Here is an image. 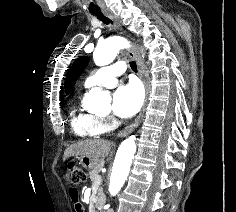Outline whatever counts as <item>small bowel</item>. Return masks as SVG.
I'll list each match as a JSON object with an SVG mask.
<instances>
[{
	"mask_svg": "<svg viewBox=\"0 0 236 212\" xmlns=\"http://www.w3.org/2000/svg\"><path fill=\"white\" fill-rule=\"evenodd\" d=\"M68 195H70L68 201L74 202L73 210H75V212H88V205H81L80 190H75V188H72V190H68Z\"/></svg>",
	"mask_w": 236,
	"mask_h": 212,
	"instance_id": "small-bowel-1",
	"label": "small bowel"
}]
</instances>
